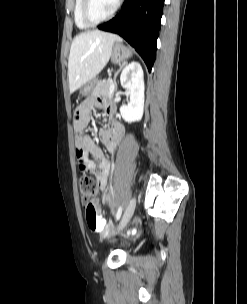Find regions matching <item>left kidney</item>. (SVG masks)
I'll return each instance as SVG.
<instances>
[{"label":"left kidney","mask_w":247,"mask_h":304,"mask_svg":"<svg viewBox=\"0 0 247 304\" xmlns=\"http://www.w3.org/2000/svg\"><path fill=\"white\" fill-rule=\"evenodd\" d=\"M122 87L130 93L128 105L120 107L122 118L128 122L141 120L144 110V73L139 62L129 63L122 71L120 76Z\"/></svg>","instance_id":"1"}]
</instances>
